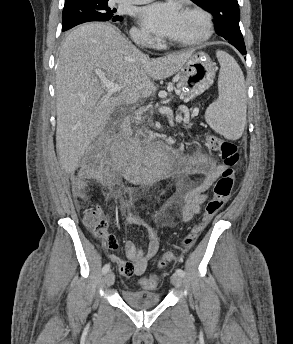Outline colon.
<instances>
[{
    "mask_svg": "<svg viewBox=\"0 0 293 344\" xmlns=\"http://www.w3.org/2000/svg\"><path fill=\"white\" fill-rule=\"evenodd\" d=\"M207 143L220 155L225 168L214 185V194L207 202L201 220L193 227L191 233L183 239L181 245L178 247L180 252L189 250L195 244L197 237L203 232L208 222L229 200L234 188L236 166L240 161L238 147L234 142L224 140L215 135H209ZM84 188V178L79 177L76 181L74 192L80 207L84 211L85 222L96 236H103L106 231V224L102 219L100 211L86 206ZM174 259L175 253L167 252L159 260L158 266L164 267ZM140 283L147 289H155L158 286V278L155 275H149L142 278Z\"/></svg>",
    "mask_w": 293,
    "mask_h": 344,
    "instance_id": "obj_1",
    "label": "colon"
}]
</instances>
